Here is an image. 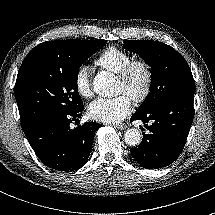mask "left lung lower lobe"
Here are the masks:
<instances>
[{"instance_id": "obj_1", "label": "left lung lower lobe", "mask_w": 215, "mask_h": 215, "mask_svg": "<svg viewBox=\"0 0 215 215\" xmlns=\"http://www.w3.org/2000/svg\"><path fill=\"white\" fill-rule=\"evenodd\" d=\"M194 95H185L160 103L143 114H134L131 121L152 122L142 142L130 150L146 169H159L174 162L181 154L194 118Z\"/></svg>"}]
</instances>
